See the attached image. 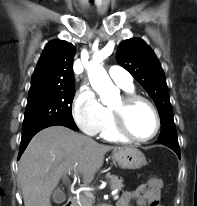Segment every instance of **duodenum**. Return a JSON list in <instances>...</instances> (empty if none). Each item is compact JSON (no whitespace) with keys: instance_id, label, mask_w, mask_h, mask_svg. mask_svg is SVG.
<instances>
[{"instance_id":"duodenum-1","label":"duodenum","mask_w":197,"mask_h":206,"mask_svg":"<svg viewBox=\"0 0 197 206\" xmlns=\"http://www.w3.org/2000/svg\"><path fill=\"white\" fill-rule=\"evenodd\" d=\"M63 206H76V202L73 198L68 199Z\"/></svg>"}]
</instances>
